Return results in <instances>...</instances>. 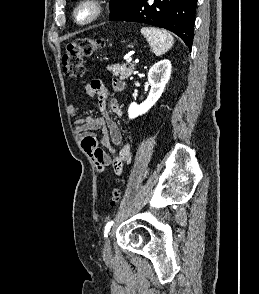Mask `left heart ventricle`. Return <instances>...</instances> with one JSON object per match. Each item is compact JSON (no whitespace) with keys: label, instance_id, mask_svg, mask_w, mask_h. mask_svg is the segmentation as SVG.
Listing matches in <instances>:
<instances>
[{"label":"left heart ventricle","instance_id":"obj_1","mask_svg":"<svg viewBox=\"0 0 259 294\" xmlns=\"http://www.w3.org/2000/svg\"><path fill=\"white\" fill-rule=\"evenodd\" d=\"M87 14H88L87 11H86V12H83V13H82V17H85Z\"/></svg>","mask_w":259,"mask_h":294}]
</instances>
